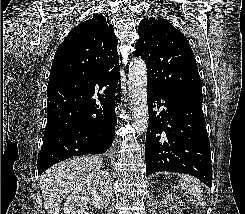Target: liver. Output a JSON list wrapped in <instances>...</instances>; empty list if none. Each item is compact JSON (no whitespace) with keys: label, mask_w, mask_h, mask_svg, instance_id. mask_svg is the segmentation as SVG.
Masks as SVG:
<instances>
[{"label":"liver","mask_w":245,"mask_h":214,"mask_svg":"<svg viewBox=\"0 0 245 214\" xmlns=\"http://www.w3.org/2000/svg\"><path fill=\"white\" fill-rule=\"evenodd\" d=\"M99 156H85L66 160L48 169L40 177L41 191L47 214H59L63 199L84 181L87 175L102 167Z\"/></svg>","instance_id":"1"}]
</instances>
